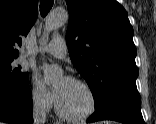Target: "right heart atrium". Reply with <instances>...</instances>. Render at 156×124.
Instances as JSON below:
<instances>
[{
    "label": "right heart atrium",
    "mask_w": 156,
    "mask_h": 124,
    "mask_svg": "<svg viewBox=\"0 0 156 124\" xmlns=\"http://www.w3.org/2000/svg\"><path fill=\"white\" fill-rule=\"evenodd\" d=\"M31 98L35 108L47 112L52 106V97L48 90L37 80L32 81Z\"/></svg>",
    "instance_id": "right-heart-atrium-1"
}]
</instances>
